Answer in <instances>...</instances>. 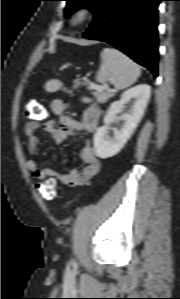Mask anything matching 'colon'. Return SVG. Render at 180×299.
<instances>
[{
  "instance_id": "1",
  "label": "colon",
  "mask_w": 180,
  "mask_h": 299,
  "mask_svg": "<svg viewBox=\"0 0 180 299\" xmlns=\"http://www.w3.org/2000/svg\"><path fill=\"white\" fill-rule=\"evenodd\" d=\"M48 115L47 109L37 100H31L27 104L26 117L30 120L41 121ZM37 188L42 196L48 200H52L57 194L56 182L49 178L37 184Z\"/></svg>"
}]
</instances>
